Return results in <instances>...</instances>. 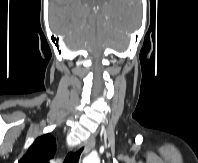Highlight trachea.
I'll return each instance as SVG.
<instances>
[{"label": "trachea", "instance_id": "trachea-1", "mask_svg": "<svg viewBox=\"0 0 198 163\" xmlns=\"http://www.w3.org/2000/svg\"><path fill=\"white\" fill-rule=\"evenodd\" d=\"M82 151L83 148L77 150L76 152L69 153L65 158L64 163H78Z\"/></svg>", "mask_w": 198, "mask_h": 163}]
</instances>
